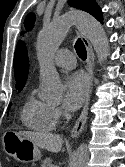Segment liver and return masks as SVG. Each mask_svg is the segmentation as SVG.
<instances>
[{
  "label": "liver",
  "mask_w": 125,
  "mask_h": 167,
  "mask_svg": "<svg viewBox=\"0 0 125 167\" xmlns=\"http://www.w3.org/2000/svg\"><path fill=\"white\" fill-rule=\"evenodd\" d=\"M17 135L23 136L31 140L37 147L53 153L59 152L63 144L61 136L52 133L20 131L17 132Z\"/></svg>",
  "instance_id": "obj_1"
}]
</instances>
